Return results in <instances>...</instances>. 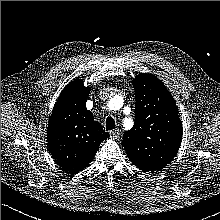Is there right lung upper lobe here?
<instances>
[{"instance_id": "obj_1", "label": "right lung upper lobe", "mask_w": 220, "mask_h": 220, "mask_svg": "<svg viewBox=\"0 0 220 220\" xmlns=\"http://www.w3.org/2000/svg\"><path fill=\"white\" fill-rule=\"evenodd\" d=\"M91 88L81 79L62 90L50 117L47 142L54 161L68 174H76L93 160L100 143L109 138L86 109Z\"/></svg>"}]
</instances>
